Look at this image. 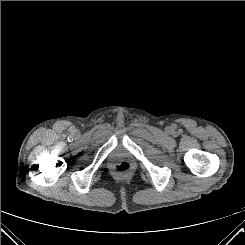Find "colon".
<instances>
[{
  "label": "colon",
  "instance_id": "obj_1",
  "mask_svg": "<svg viewBox=\"0 0 245 245\" xmlns=\"http://www.w3.org/2000/svg\"><path fill=\"white\" fill-rule=\"evenodd\" d=\"M131 171V165L127 162H122L115 167V172L120 176H125Z\"/></svg>",
  "mask_w": 245,
  "mask_h": 245
}]
</instances>
